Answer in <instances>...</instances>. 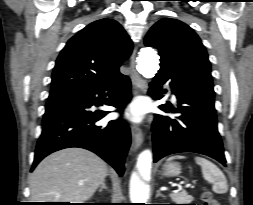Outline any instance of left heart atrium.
Returning <instances> with one entry per match:
<instances>
[{"instance_id": "left-heart-atrium-1", "label": "left heart atrium", "mask_w": 253, "mask_h": 205, "mask_svg": "<svg viewBox=\"0 0 253 205\" xmlns=\"http://www.w3.org/2000/svg\"><path fill=\"white\" fill-rule=\"evenodd\" d=\"M126 115L132 121H140L144 115V107L140 102L132 103L127 109Z\"/></svg>"}]
</instances>
